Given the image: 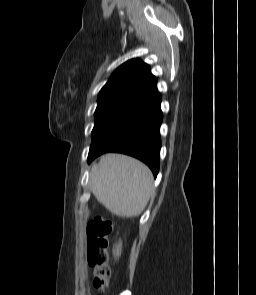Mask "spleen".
Here are the masks:
<instances>
[{
    "label": "spleen",
    "mask_w": 256,
    "mask_h": 295,
    "mask_svg": "<svg viewBox=\"0 0 256 295\" xmlns=\"http://www.w3.org/2000/svg\"><path fill=\"white\" fill-rule=\"evenodd\" d=\"M89 187L96 199L120 217H135L153 192L151 171L142 162L121 154H106L93 165Z\"/></svg>",
    "instance_id": "spleen-1"
}]
</instances>
